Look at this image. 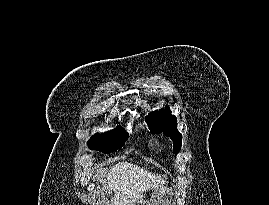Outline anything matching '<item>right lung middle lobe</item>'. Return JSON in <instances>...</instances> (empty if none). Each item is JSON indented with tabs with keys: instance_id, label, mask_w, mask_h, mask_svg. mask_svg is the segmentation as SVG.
<instances>
[{
	"instance_id": "right-lung-middle-lobe-1",
	"label": "right lung middle lobe",
	"mask_w": 269,
	"mask_h": 205,
	"mask_svg": "<svg viewBox=\"0 0 269 205\" xmlns=\"http://www.w3.org/2000/svg\"><path fill=\"white\" fill-rule=\"evenodd\" d=\"M128 138V133L118 126L116 129L103 133L96 134L88 141V146L92 150H98L104 154H109L121 148Z\"/></svg>"
}]
</instances>
